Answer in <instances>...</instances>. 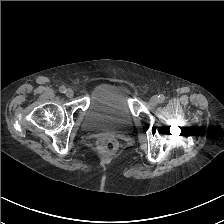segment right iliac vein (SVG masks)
<instances>
[{
	"instance_id": "obj_1",
	"label": "right iliac vein",
	"mask_w": 224,
	"mask_h": 224,
	"mask_svg": "<svg viewBox=\"0 0 224 224\" xmlns=\"http://www.w3.org/2000/svg\"><path fill=\"white\" fill-rule=\"evenodd\" d=\"M73 95H74V91H73L72 89H68V90L66 91V96H67L68 98L73 97Z\"/></svg>"
}]
</instances>
